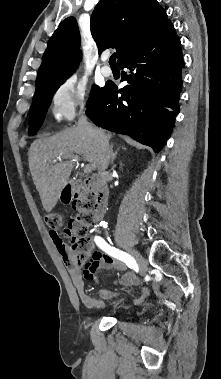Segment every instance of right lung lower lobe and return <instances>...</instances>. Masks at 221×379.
Listing matches in <instances>:
<instances>
[{
    "instance_id": "98d812e1",
    "label": "right lung lower lobe",
    "mask_w": 221,
    "mask_h": 379,
    "mask_svg": "<svg viewBox=\"0 0 221 379\" xmlns=\"http://www.w3.org/2000/svg\"><path fill=\"white\" fill-rule=\"evenodd\" d=\"M118 65L129 69L121 80L128 84L120 90L106 84L86 114L97 126L129 135L158 153L179 113L182 90L184 62L173 24L129 50Z\"/></svg>"
}]
</instances>
